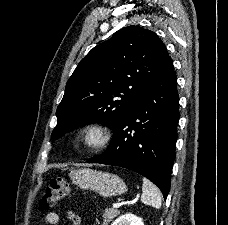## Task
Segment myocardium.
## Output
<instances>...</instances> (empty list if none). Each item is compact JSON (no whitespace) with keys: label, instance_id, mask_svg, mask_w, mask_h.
Segmentation results:
<instances>
[{"label":"myocardium","instance_id":"f54148a6","mask_svg":"<svg viewBox=\"0 0 228 225\" xmlns=\"http://www.w3.org/2000/svg\"><path fill=\"white\" fill-rule=\"evenodd\" d=\"M114 141L112 130L101 122H88L74 134V145L83 151L103 152L109 149Z\"/></svg>","mask_w":228,"mask_h":225}]
</instances>
